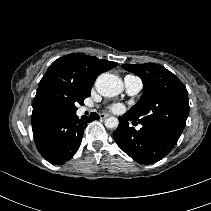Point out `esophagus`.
<instances>
[{
  "label": "esophagus",
  "instance_id": "1",
  "mask_svg": "<svg viewBox=\"0 0 211 211\" xmlns=\"http://www.w3.org/2000/svg\"><path fill=\"white\" fill-rule=\"evenodd\" d=\"M110 115L109 114H106V113H102L100 114V118L104 119V118H107L109 117Z\"/></svg>",
  "mask_w": 211,
  "mask_h": 211
}]
</instances>
